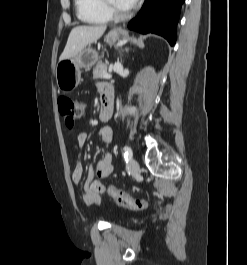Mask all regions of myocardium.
I'll return each instance as SVG.
<instances>
[{"instance_id": "obj_1", "label": "myocardium", "mask_w": 247, "mask_h": 265, "mask_svg": "<svg viewBox=\"0 0 247 265\" xmlns=\"http://www.w3.org/2000/svg\"><path fill=\"white\" fill-rule=\"evenodd\" d=\"M105 8L109 15L116 19H124L130 15V12L119 10L110 0H104Z\"/></svg>"}]
</instances>
